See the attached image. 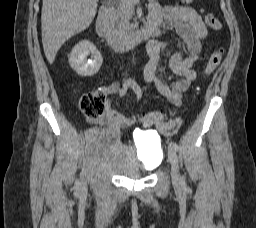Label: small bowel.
<instances>
[{
    "mask_svg": "<svg viewBox=\"0 0 256 228\" xmlns=\"http://www.w3.org/2000/svg\"><path fill=\"white\" fill-rule=\"evenodd\" d=\"M164 21L169 22L174 27L176 33L188 47V55L183 56L181 53H176L168 62L170 71L179 76L180 79L174 81L172 84H167L161 77L160 58L166 48V43L158 39H152L147 44L149 61L144 69L146 85H139L131 79H127L122 83L113 82L103 89L106 97L112 95L124 97L128 91H132L137 98H141L147 88L152 86L173 105H181L183 93L196 79L197 74L193 67L202 54V41L206 38L208 30L201 16L193 8L161 5L153 2L150 6L148 22L155 30V34H159ZM91 121L107 126L112 131H119L136 123L134 116L119 110H113L109 105L100 117L91 119ZM156 127L161 133L169 135L177 127V122L169 121L159 124Z\"/></svg>",
    "mask_w": 256,
    "mask_h": 228,
    "instance_id": "1",
    "label": "small bowel"
}]
</instances>
